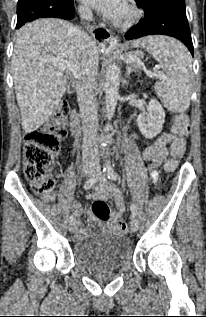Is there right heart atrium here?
<instances>
[{"instance_id":"d8ad5b80","label":"right heart atrium","mask_w":206,"mask_h":317,"mask_svg":"<svg viewBox=\"0 0 206 317\" xmlns=\"http://www.w3.org/2000/svg\"><path fill=\"white\" fill-rule=\"evenodd\" d=\"M79 9H80V11L83 12V13H85V12L88 11L87 8L84 7V6H81Z\"/></svg>"}]
</instances>
